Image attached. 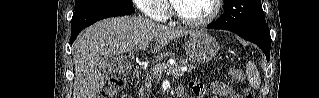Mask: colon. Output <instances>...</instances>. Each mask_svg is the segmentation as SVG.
<instances>
[{"instance_id": "5ec220e1", "label": "colon", "mask_w": 319, "mask_h": 98, "mask_svg": "<svg viewBox=\"0 0 319 98\" xmlns=\"http://www.w3.org/2000/svg\"><path fill=\"white\" fill-rule=\"evenodd\" d=\"M231 74L236 80H241L243 78V74L240 71L233 70ZM125 85L126 81L123 77H111L108 82V87L101 93L100 98H115L117 94L125 88ZM244 97L252 98L253 94L250 90H246Z\"/></svg>"}]
</instances>
